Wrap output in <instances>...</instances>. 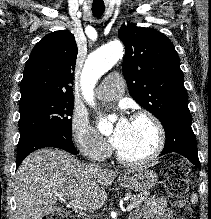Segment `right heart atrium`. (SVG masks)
Masks as SVG:
<instances>
[{"label": "right heart atrium", "mask_w": 211, "mask_h": 219, "mask_svg": "<svg viewBox=\"0 0 211 219\" xmlns=\"http://www.w3.org/2000/svg\"><path fill=\"white\" fill-rule=\"evenodd\" d=\"M72 141L79 152L94 161H102L109 154L107 144L81 116H74L71 124Z\"/></svg>", "instance_id": "1"}]
</instances>
